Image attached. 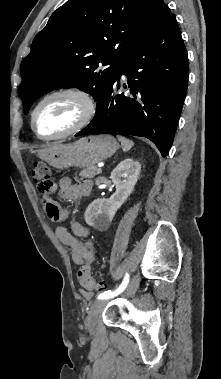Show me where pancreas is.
Returning <instances> with one entry per match:
<instances>
[{"label":"pancreas","instance_id":"pancreas-1","mask_svg":"<svg viewBox=\"0 0 221 379\" xmlns=\"http://www.w3.org/2000/svg\"><path fill=\"white\" fill-rule=\"evenodd\" d=\"M97 168L95 166L85 168L80 173L81 177L83 178H93L97 174Z\"/></svg>","mask_w":221,"mask_h":379}]
</instances>
